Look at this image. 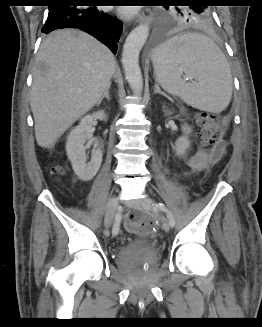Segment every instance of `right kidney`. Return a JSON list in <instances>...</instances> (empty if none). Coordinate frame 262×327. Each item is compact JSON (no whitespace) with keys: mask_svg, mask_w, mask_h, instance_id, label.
Listing matches in <instances>:
<instances>
[{"mask_svg":"<svg viewBox=\"0 0 262 327\" xmlns=\"http://www.w3.org/2000/svg\"><path fill=\"white\" fill-rule=\"evenodd\" d=\"M107 115L104 110H100L91 115L84 116L79 125L69 134L66 142V152L71 162L75 174L83 181H89L97 174L101 162L102 152L100 149L95 150L91 155V160L87 163L86 141L92 143V124L94 119L106 120Z\"/></svg>","mask_w":262,"mask_h":327,"instance_id":"obj_1","label":"right kidney"}]
</instances>
